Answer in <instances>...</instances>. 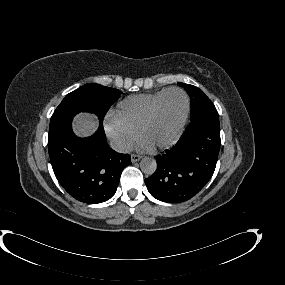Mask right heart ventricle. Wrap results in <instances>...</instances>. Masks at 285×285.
<instances>
[{"label": "right heart ventricle", "mask_w": 285, "mask_h": 285, "mask_svg": "<svg viewBox=\"0 0 285 285\" xmlns=\"http://www.w3.org/2000/svg\"><path fill=\"white\" fill-rule=\"evenodd\" d=\"M167 89L154 93L132 95L118 104L115 117L125 127L138 133L141 124L149 115L153 105Z\"/></svg>", "instance_id": "1"}]
</instances>
